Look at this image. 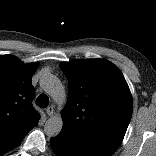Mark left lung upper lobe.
I'll return each instance as SVG.
<instances>
[{
	"mask_svg": "<svg viewBox=\"0 0 156 156\" xmlns=\"http://www.w3.org/2000/svg\"><path fill=\"white\" fill-rule=\"evenodd\" d=\"M69 96L62 132L115 152L131 120L133 101L121 71L102 59L63 62Z\"/></svg>",
	"mask_w": 156,
	"mask_h": 156,
	"instance_id": "obj_1",
	"label": "left lung upper lobe"
}]
</instances>
